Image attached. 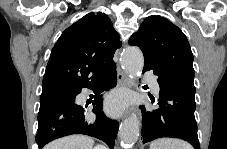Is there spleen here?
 <instances>
[{
	"label": "spleen",
	"mask_w": 227,
	"mask_h": 149,
	"mask_svg": "<svg viewBox=\"0 0 227 149\" xmlns=\"http://www.w3.org/2000/svg\"><path fill=\"white\" fill-rule=\"evenodd\" d=\"M150 149H192V147L179 139L161 138L153 141Z\"/></svg>",
	"instance_id": "1"
}]
</instances>
